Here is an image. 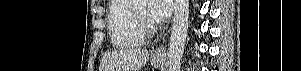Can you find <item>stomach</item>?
Returning a JSON list of instances; mask_svg holds the SVG:
<instances>
[{
  "mask_svg": "<svg viewBox=\"0 0 301 71\" xmlns=\"http://www.w3.org/2000/svg\"><path fill=\"white\" fill-rule=\"evenodd\" d=\"M151 63H152V65H153L154 67H159V66L162 65L163 60L152 59V60H151Z\"/></svg>",
  "mask_w": 301,
  "mask_h": 71,
  "instance_id": "1",
  "label": "stomach"
}]
</instances>
